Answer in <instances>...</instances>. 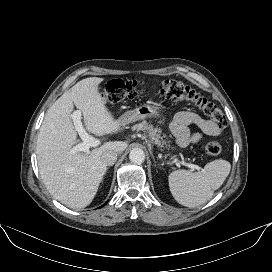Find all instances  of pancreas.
<instances>
[{
	"instance_id": "pancreas-1",
	"label": "pancreas",
	"mask_w": 272,
	"mask_h": 272,
	"mask_svg": "<svg viewBox=\"0 0 272 272\" xmlns=\"http://www.w3.org/2000/svg\"><path fill=\"white\" fill-rule=\"evenodd\" d=\"M134 130L137 131H143L148 134V136L151 138L152 142L160 147H163L165 141H161L160 132L161 130L158 128H154L152 124H149L147 121H143L139 124H136L133 126Z\"/></svg>"
}]
</instances>
